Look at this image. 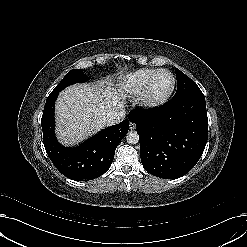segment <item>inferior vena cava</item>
<instances>
[{
  "mask_svg": "<svg viewBox=\"0 0 247 247\" xmlns=\"http://www.w3.org/2000/svg\"><path fill=\"white\" fill-rule=\"evenodd\" d=\"M124 118H125V111L120 110L108 114L105 122L107 126H111L120 123L122 120H124Z\"/></svg>",
  "mask_w": 247,
  "mask_h": 247,
  "instance_id": "602c4592",
  "label": "inferior vena cava"
}]
</instances>
